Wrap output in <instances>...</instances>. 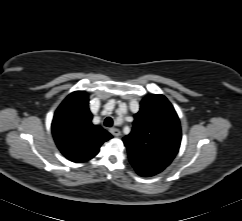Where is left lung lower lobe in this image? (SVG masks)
<instances>
[{
	"label": "left lung lower lobe",
	"instance_id": "obj_1",
	"mask_svg": "<svg viewBox=\"0 0 242 221\" xmlns=\"http://www.w3.org/2000/svg\"><path fill=\"white\" fill-rule=\"evenodd\" d=\"M136 172L143 177L153 176L165 169L164 166L129 158Z\"/></svg>",
	"mask_w": 242,
	"mask_h": 221
}]
</instances>
